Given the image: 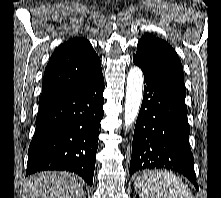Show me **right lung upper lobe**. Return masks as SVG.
Returning a JSON list of instances; mask_svg holds the SVG:
<instances>
[{"instance_id":"1","label":"right lung upper lobe","mask_w":221,"mask_h":198,"mask_svg":"<svg viewBox=\"0 0 221 198\" xmlns=\"http://www.w3.org/2000/svg\"><path fill=\"white\" fill-rule=\"evenodd\" d=\"M102 72L92 45L75 37L61 44L45 69L39 107L87 84Z\"/></svg>"}]
</instances>
